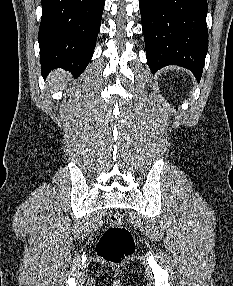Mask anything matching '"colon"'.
<instances>
[{"label":"colon","instance_id":"1","mask_svg":"<svg viewBox=\"0 0 233 286\" xmlns=\"http://www.w3.org/2000/svg\"><path fill=\"white\" fill-rule=\"evenodd\" d=\"M134 249V238L124 225L122 215L109 214L107 227L96 246L98 257L109 264H120L133 254Z\"/></svg>","mask_w":233,"mask_h":286}]
</instances>
